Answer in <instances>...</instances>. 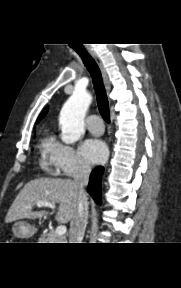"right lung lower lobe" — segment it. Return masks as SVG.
I'll return each instance as SVG.
<instances>
[{
  "instance_id": "98d812e1",
  "label": "right lung lower lobe",
  "mask_w": 181,
  "mask_h": 288,
  "mask_svg": "<svg viewBox=\"0 0 181 288\" xmlns=\"http://www.w3.org/2000/svg\"><path fill=\"white\" fill-rule=\"evenodd\" d=\"M103 171V167H98L94 169L90 175V180L88 184V193L98 204H101V177Z\"/></svg>"
}]
</instances>
